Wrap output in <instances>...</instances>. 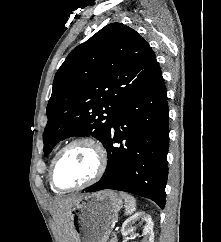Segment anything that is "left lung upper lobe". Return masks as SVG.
I'll list each match as a JSON object with an SVG mask.
<instances>
[{
  "label": "left lung upper lobe",
  "instance_id": "obj_1",
  "mask_svg": "<svg viewBox=\"0 0 221 242\" xmlns=\"http://www.w3.org/2000/svg\"><path fill=\"white\" fill-rule=\"evenodd\" d=\"M158 69L149 44L122 23L108 24L77 46L54 78L44 156L70 136L92 135L104 144L121 107Z\"/></svg>",
  "mask_w": 221,
  "mask_h": 242
}]
</instances>
